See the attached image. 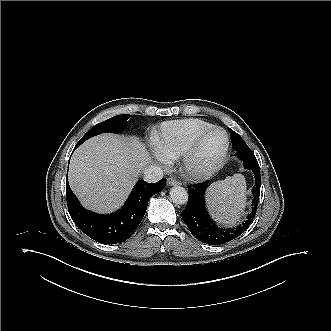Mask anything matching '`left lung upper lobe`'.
<instances>
[{
  "label": "left lung upper lobe",
  "instance_id": "1",
  "mask_svg": "<svg viewBox=\"0 0 331 331\" xmlns=\"http://www.w3.org/2000/svg\"><path fill=\"white\" fill-rule=\"evenodd\" d=\"M230 131V137L237 138L238 140L241 141V148L237 150V155L239 158L242 159L245 163L253 164V165H258V162L256 160V157L252 153V151L249 149L245 141L238 135L236 132L233 130L229 129Z\"/></svg>",
  "mask_w": 331,
  "mask_h": 331
}]
</instances>
